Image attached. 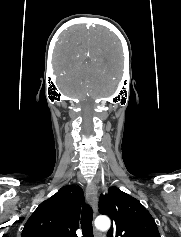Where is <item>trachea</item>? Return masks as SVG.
<instances>
[{
	"label": "trachea",
	"mask_w": 181,
	"mask_h": 237,
	"mask_svg": "<svg viewBox=\"0 0 181 237\" xmlns=\"http://www.w3.org/2000/svg\"><path fill=\"white\" fill-rule=\"evenodd\" d=\"M92 219L93 210L89 205H85L82 208L81 214V228L83 237H93Z\"/></svg>",
	"instance_id": "obj_1"
}]
</instances>
